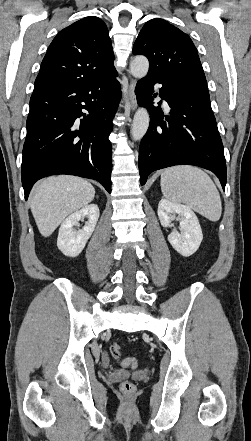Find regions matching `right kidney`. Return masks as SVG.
<instances>
[{
  "mask_svg": "<svg viewBox=\"0 0 251 441\" xmlns=\"http://www.w3.org/2000/svg\"><path fill=\"white\" fill-rule=\"evenodd\" d=\"M88 217V222L76 231L73 227L78 222ZM99 218V208L96 204H90L67 217L59 228L57 238L58 249L68 257L78 256L84 249L88 239L91 237Z\"/></svg>",
  "mask_w": 251,
  "mask_h": 441,
  "instance_id": "right-kidney-1",
  "label": "right kidney"
}]
</instances>
